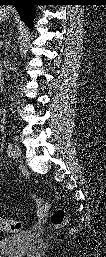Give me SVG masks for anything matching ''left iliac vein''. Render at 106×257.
Instances as JSON below:
<instances>
[{"instance_id": "obj_1", "label": "left iliac vein", "mask_w": 106, "mask_h": 257, "mask_svg": "<svg viewBox=\"0 0 106 257\" xmlns=\"http://www.w3.org/2000/svg\"><path fill=\"white\" fill-rule=\"evenodd\" d=\"M20 155H21V150L19 149V147L15 146L13 148V158L18 159Z\"/></svg>"}]
</instances>
